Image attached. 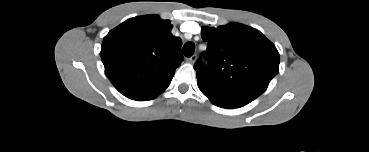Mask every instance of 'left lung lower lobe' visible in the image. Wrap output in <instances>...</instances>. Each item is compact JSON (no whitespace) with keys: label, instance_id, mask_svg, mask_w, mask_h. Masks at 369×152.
I'll return each instance as SVG.
<instances>
[{"label":"left lung lower lobe","instance_id":"1","mask_svg":"<svg viewBox=\"0 0 369 152\" xmlns=\"http://www.w3.org/2000/svg\"><path fill=\"white\" fill-rule=\"evenodd\" d=\"M198 87L201 92L209 98V100L216 106L233 109L242 107L254 99L246 96L228 93L207 87L198 83Z\"/></svg>","mask_w":369,"mask_h":152}]
</instances>
